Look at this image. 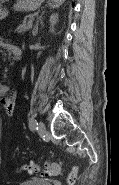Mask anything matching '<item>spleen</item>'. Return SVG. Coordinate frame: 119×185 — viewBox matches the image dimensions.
Masks as SVG:
<instances>
[{
  "label": "spleen",
  "mask_w": 119,
  "mask_h": 185,
  "mask_svg": "<svg viewBox=\"0 0 119 185\" xmlns=\"http://www.w3.org/2000/svg\"><path fill=\"white\" fill-rule=\"evenodd\" d=\"M65 0H52L53 7H59Z\"/></svg>",
  "instance_id": "obj_1"
}]
</instances>
